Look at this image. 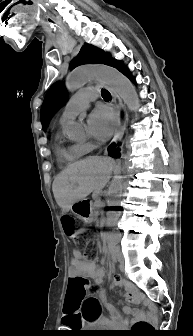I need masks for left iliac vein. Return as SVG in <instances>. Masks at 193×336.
Returning a JSON list of instances; mask_svg holds the SVG:
<instances>
[{
	"label": "left iliac vein",
	"instance_id": "obj_1",
	"mask_svg": "<svg viewBox=\"0 0 193 336\" xmlns=\"http://www.w3.org/2000/svg\"><path fill=\"white\" fill-rule=\"evenodd\" d=\"M117 259H118V262H119V264H120V270H121V271H124V264H125V261H124V257H123V255H118Z\"/></svg>",
	"mask_w": 193,
	"mask_h": 336
}]
</instances>
